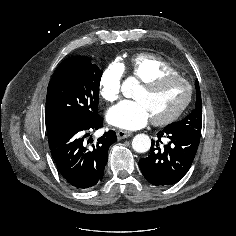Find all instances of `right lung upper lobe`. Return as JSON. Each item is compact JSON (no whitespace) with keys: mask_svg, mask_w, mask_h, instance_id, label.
<instances>
[{"mask_svg":"<svg viewBox=\"0 0 236 236\" xmlns=\"http://www.w3.org/2000/svg\"><path fill=\"white\" fill-rule=\"evenodd\" d=\"M46 128H47V134H51L59 128V125H57L55 123L47 122L46 123Z\"/></svg>","mask_w":236,"mask_h":236,"instance_id":"1","label":"right lung upper lobe"}]
</instances>
